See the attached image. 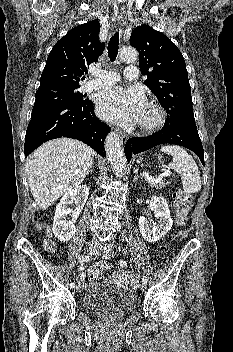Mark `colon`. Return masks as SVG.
<instances>
[{
  "instance_id": "5ec220e1",
  "label": "colon",
  "mask_w": 233,
  "mask_h": 352,
  "mask_svg": "<svg viewBox=\"0 0 233 352\" xmlns=\"http://www.w3.org/2000/svg\"><path fill=\"white\" fill-rule=\"evenodd\" d=\"M192 206V199L189 193L184 190H177L173 196V207L175 211V223L177 227L182 228L187 224L188 214ZM44 246L47 250L52 251L54 243L50 239L44 241ZM106 266L104 264H96L90 267L88 271V279H99Z\"/></svg>"
}]
</instances>
